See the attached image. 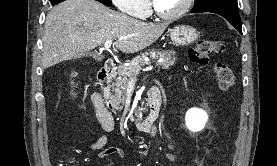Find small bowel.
<instances>
[{
  "label": "small bowel",
  "mask_w": 277,
  "mask_h": 166,
  "mask_svg": "<svg viewBox=\"0 0 277 166\" xmlns=\"http://www.w3.org/2000/svg\"><path fill=\"white\" fill-rule=\"evenodd\" d=\"M92 102L96 108V115L97 118L101 124L102 129L109 133L114 129V120L113 118H105L98 109V102L95 93L92 95ZM156 133V131H155ZM108 142V137L106 134L101 135L97 139L93 140L89 144V148L91 150H99L98 157L99 158H107V157H121L122 156V150L118 147H109L104 148ZM169 149L171 152L167 153V158L171 161H175V155L172 153L174 147L172 144H168Z\"/></svg>",
  "instance_id": "obj_1"
}]
</instances>
